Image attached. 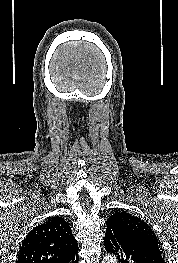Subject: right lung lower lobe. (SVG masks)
Wrapping results in <instances>:
<instances>
[{
    "label": "right lung lower lobe",
    "instance_id": "98d812e1",
    "mask_svg": "<svg viewBox=\"0 0 178 263\" xmlns=\"http://www.w3.org/2000/svg\"><path fill=\"white\" fill-rule=\"evenodd\" d=\"M77 261H78V256L76 255L71 260L67 261V263H77Z\"/></svg>",
    "mask_w": 178,
    "mask_h": 263
}]
</instances>
